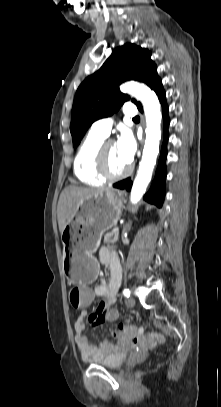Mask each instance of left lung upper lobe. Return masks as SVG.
<instances>
[{"instance_id": "left-lung-upper-lobe-1", "label": "left lung upper lobe", "mask_w": 221, "mask_h": 407, "mask_svg": "<svg viewBox=\"0 0 221 407\" xmlns=\"http://www.w3.org/2000/svg\"><path fill=\"white\" fill-rule=\"evenodd\" d=\"M151 52L127 43L116 48L101 68L87 77L79 86L72 107L70 131L76 148L91 124L113 115L129 96L119 91V84L126 80L146 83L151 89L160 78ZM134 103L136 101L132 99ZM141 106L137 103V107Z\"/></svg>"}]
</instances>
